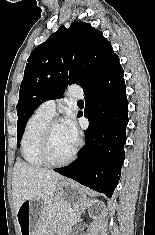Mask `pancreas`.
<instances>
[{
  "instance_id": "pancreas-1",
  "label": "pancreas",
  "mask_w": 155,
  "mask_h": 235,
  "mask_svg": "<svg viewBox=\"0 0 155 235\" xmlns=\"http://www.w3.org/2000/svg\"><path fill=\"white\" fill-rule=\"evenodd\" d=\"M44 202L46 204V212L50 216L70 223H74L77 220V214L75 212H69V207L61 201L47 199Z\"/></svg>"
}]
</instances>
